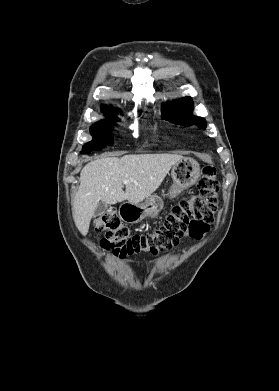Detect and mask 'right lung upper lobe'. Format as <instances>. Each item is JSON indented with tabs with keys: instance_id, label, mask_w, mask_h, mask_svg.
I'll return each mask as SVG.
<instances>
[{
	"instance_id": "right-lung-upper-lobe-1",
	"label": "right lung upper lobe",
	"mask_w": 279,
	"mask_h": 391,
	"mask_svg": "<svg viewBox=\"0 0 279 391\" xmlns=\"http://www.w3.org/2000/svg\"><path fill=\"white\" fill-rule=\"evenodd\" d=\"M102 112H104L105 114H110L112 112V110H110L109 108L103 106Z\"/></svg>"
}]
</instances>
